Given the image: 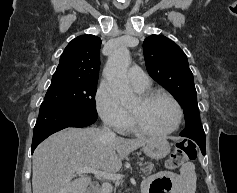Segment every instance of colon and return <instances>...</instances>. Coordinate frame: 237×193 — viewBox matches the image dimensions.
Here are the masks:
<instances>
[{
    "instance_id": "obj_1",
    "label": "colon",
    "mask_w": 237,
    "mask_h": 193,
    "mask_svg": "<svg viewBox=\"0 0 237 193\" xmlns=\"http://www.w3.org/2000/svg\"><path fill=\"white\" fill-rule=\"evenodd\" d=\"M197 157L196 145L191 141H180L166 161V167L170 170L177 169Z\"/></svg>"
}]
</instances>
